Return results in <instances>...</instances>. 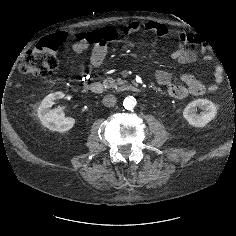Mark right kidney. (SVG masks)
Returning <instances> with one entry per match:
<instances>
[{
    "instance_id": "ca27d5eb",
    "label": "right kidney",
    "mask_w": 236,
    "mask_h": 236,
    "mask_svg": "<svg viewBox=\"0 0 236 236\" xmlns=\"http://www.w3.org/2000/svg\"><path fill=\"white\" fill-rule=\"evenodd\" d=\"M63 92H55L47 95L41 102L37 114L42 125L51 131L65 132L70 130L74 124L75 119L65 117L61 109H51L54 101L64 98Z\"/></svg>"
}]
</instances>
